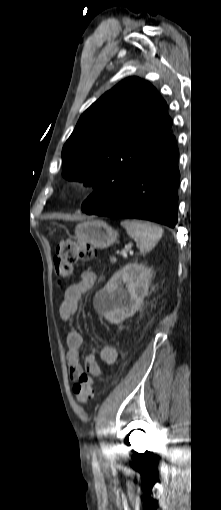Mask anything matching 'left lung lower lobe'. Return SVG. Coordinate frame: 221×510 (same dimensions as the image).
Returning <instances> with one entry per match:
<instances>
[{
  "label": "left lung lower lobe",
  "mask_w": 221,
  "mask_h": 510,
  "mask_svg": "<svg viewBox=\"0 0 221 510\" xmlns=\"http://www.w3.org/2000/svg\"><path fill=\"white\" fill-rule=\"evenodd\" d=\"M178 149L176 142L148 157L121 192L105 207L85 201L87 214L146 219L174 228L177 224Z\"/></svg>",
  "instance_id": "obj_1"
}]
</instances>
